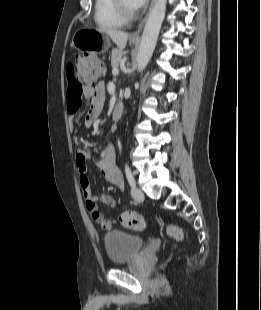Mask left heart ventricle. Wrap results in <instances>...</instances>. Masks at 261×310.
<instances>
[{"label": "left heart ventricle", "mask_w": 261, "mask_h": 310, "mask_svg": "<svg viewBox=\"0 0 261 310\" xmlns=\"http://www.w3.org/2000/svg\"><path fill=\"white\" fill-rule=\"evenodd\" d=\"M123 3L125 5V7L131 11H134L135 9L132 7L130 0H123Z\"/></svg>", "instance_id": "b2bd125f"}]
</instances>
